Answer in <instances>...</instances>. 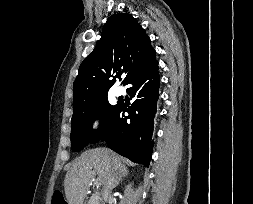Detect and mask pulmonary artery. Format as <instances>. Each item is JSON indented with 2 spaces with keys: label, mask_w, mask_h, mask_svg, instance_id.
<instances>
[{
  "label": "pulmonary artery",
  "mask_w": 253,
  "mask_h": 204,
  "mask_svg": "<svg viewBox=\"0 0 253 204\" xmlns=\"http://www.w3.org/2000/svg\"><path fill=\"white\" fill-rule=\"evenodd\" d=\"M123 94V89L121 88V87H118V88H116L115 90H114V95L116 96V97H118V96H120V95H122Z\"/></svg>",
  "instance_id": "1"
}]
</instances>
